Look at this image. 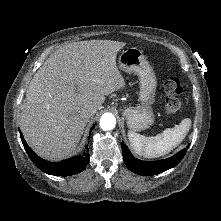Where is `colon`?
Masks as SVG:
<instances>
[{
    "label": "colon",
    "instance_id": "5ec220e1",
    "mask_svg": "<svg viewBox=\"0 0 221 221\" xmlns=\"http://www.w3.org/2000/svg\"><path fill=\"white\" fill-rule=\"evenodd\" d=\"M163 90L166 95L165 112L169 115L176 113L181 106L178 96L182 94L183 88L177 77H167L163 82Z\"/></svg>",
    "mask_w": 221,
    "mask_h": 221
}]
</instances>
